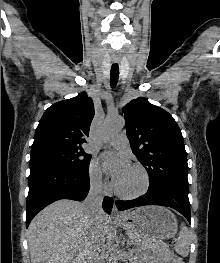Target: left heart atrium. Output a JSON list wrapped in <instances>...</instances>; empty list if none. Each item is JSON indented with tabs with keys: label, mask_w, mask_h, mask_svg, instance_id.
Returning a JSON list of instances; mask_svg holds the SVG:
<instances>
[{
	"label": "left heart atrium",
	"mask_w": 220,
	"mask_h": 263,
	"mask_svg": "<svg viewBox=\"0 0 220 263\" xmlns=\"http://www.w3.org/2000/svg\"><path fill=\"white\" fill-rule=\"evenodd\" d=\"M103 165L116 185L130 168L128 159L121 154L107 153L102 156Z\"/></svg>",
	"instance_id": "obj_1"
}]
</instances>
